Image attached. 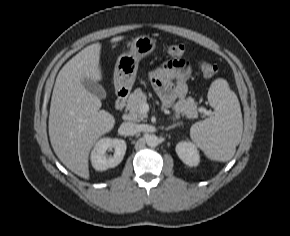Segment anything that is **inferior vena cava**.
Masks as SVG:
<instances>
[{
  "mask_svg": "<svg viewBox=\"0 0 290 236\" xmlns=\"http://www.w3.org/2000/svg\"><path fill=\"white\" fill-rule=\"evenodd\" d=\"M123 135H134L138 132V125L134 122H123L120 126Z\"/></svg>",
  "mask_w": 290,
  "mask_h": 236,
  "instance_id": "1",
  "label": "inferior vena cava"
}]
</instances>
